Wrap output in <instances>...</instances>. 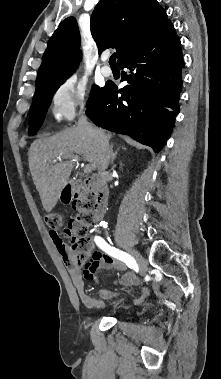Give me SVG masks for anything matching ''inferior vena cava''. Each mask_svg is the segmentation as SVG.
I'll use <instances>...</instances> for the list:
<instances>
[{
	"label": "inferior vena cava",
	"instance_id": "602c4592",
	"mask_svg": "<svg viewBox=\"0 0 221 379\" xmlns=\"http://www.w3.org/2000/svg\"><path fill=\"white\" fill-rule=\"evenodd\" d=\"M77 126L80 129L86 130L89 134L94 136L99 141V151H98V174L103 176L106 174V169L109 165V160L111 157V152L109 148L108 140L106 139L102 130L93 127L87 119L84 113L79 116Z\"/></svg>",
	"mask_w": 221,
	"mask_h": 379
}]
</instances>
